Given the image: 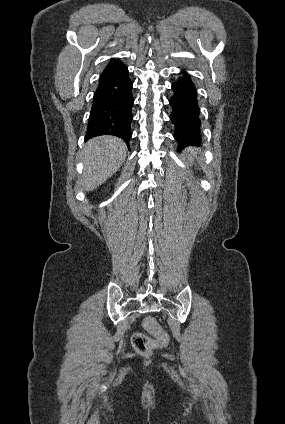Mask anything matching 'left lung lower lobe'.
I'll use <instances>...</instances> for the list:
<instances>
[{
  "label": "left lung lower lobe",
  "mask_w": 285,
  "mask_h": 424,
  "mask_svg": "<svg viewBox=\"0 0 285 424\" xmlns=\"http://www.w3.org/2000/svg\"><path fill=\"white\" fill-rule=\"evenodd\" d=\"M181 74L172 84L174 94L169 100L172 107L170 118L175 125L174 137L179 143L178 149L199 145L201 140L197 89L185 70Z\"/></svg>",
  "instance_id": "1"
}]
</instances>
